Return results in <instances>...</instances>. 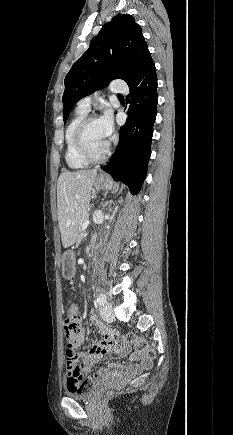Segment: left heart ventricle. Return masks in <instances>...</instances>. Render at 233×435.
I'll use <instances>...</instances> for the list:
<instances>
[{
	"label": "left heart ventricle",
	"mask_w": 233,
	"mask_h": 435,
	"mask_svg": "<svg viewBox=\"0 0 233 435\" xmlns=\"http://www.w3.org/2000/svg\"><path fill=\"white\" fill-rule=\"evenodd\" d=\"M109 137L105 134L103 127L99 120L92 122L86 130V143L94 155L102 154L108 142Z\"/></svg>",
	"instance_id": "1"
}]
</instances>
